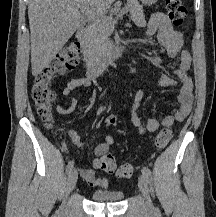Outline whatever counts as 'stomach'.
Wrapping results in <instances>:
<instances>
[{"mask_svg": "<svg viewBox=\"0 0 216 217\" xmlns=\"http://www.w3.org/2000/svg\"><path fill=\"white\" fill-rule=\"evenodd\" d=\"M142 4L144 5H153L155 4L158 0H140Z\"/></svg>", "mask_w": 216, "mask_h": 217, "instance_id": "stomach-1", "label": "stomach"}]
</instances>
